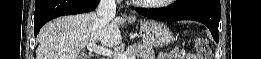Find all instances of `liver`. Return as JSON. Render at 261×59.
Segmentation results:
<instances>
[{
    "mask_svg": "<svg viewBox=\"0 0 261 59\" xmlns=\"http://www.w3.org/2000/svg\"><path fill=\"white\" fill-rule=\"evenodd\" d=\"M136 17H113L105 20L95 12L63 16L48 22L38 35L36 59H79V53L88 44L101 42L115 47L122 42L120 26Z\"/></svg>",
    "mask_w": 261,
    "mask_h": 59,
    "instance_id": "obj_1",
    "label": "liver"
}]
</instances>
